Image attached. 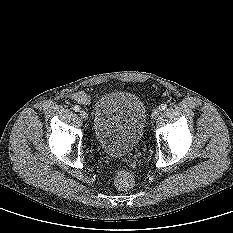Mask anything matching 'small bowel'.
<instances>
[{
    "label": "small bowel",
    "instance_id": "c3829d8e",
    "mask_svg": "<svg viewBox=\"0 0 233 233\" xmlns=\"http://www.w3.org/2000/svg\"><path fill=\"white\" fill-rule=\"evenodd\" d=\"M73 98L78 101L81 104H87L89 103L90 99L88 97V95H86L83 92H77L73 95Z\"/></svg>",
    "mask_w": 233,
    "mask_h": 233
}]
</instances>
